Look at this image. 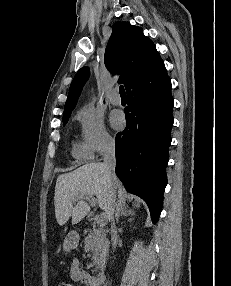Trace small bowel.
Instances as JSON below:
<instances>
[{
  "mask_svg": "<svg viewBox=\"0 0 231 286\" xmlns=\"http://www.w3.org/2000/svg\"><path fill=\"white\" fill-rule=\"evenodd\" d=\"M70 278L75 282H82L84 286H97L96 279L85 272L79 259L75 258L71 262L69 270Z\"/></svg>",
  "mask_w": 231,
  "mask_h": 286,
  "instance_id": "small-bowel-1",
  "label": "small bowel"
}]
</instances>
